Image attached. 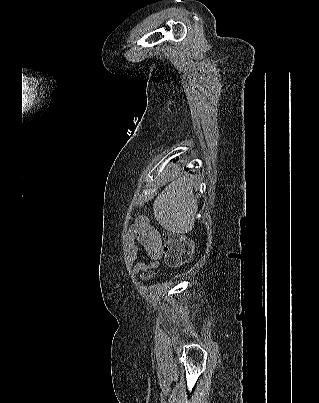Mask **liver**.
Here are the masks:
<instances>
[{
    "label": "liver",
    "instance_id": "1",
    "mask_svg": "<svg viewBox=\"0 0 319 403\" xmlns=\"http://www.w3.org/2000/svg\"><path fill=\"white\" fill-rule=\"evenodd\" d=\"M193 185V180L188 176H179L156 197L154 216L164 229L185 234L194 228L198 204Z\"/></svg>",
    "mask_w": 319,
    "mask_h": 403
}]
</instances>
